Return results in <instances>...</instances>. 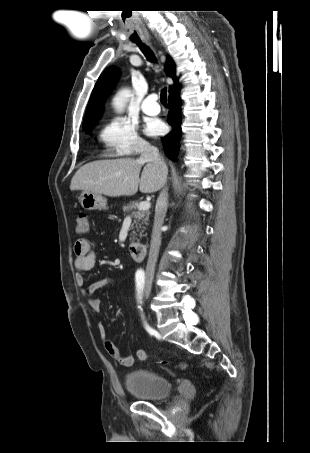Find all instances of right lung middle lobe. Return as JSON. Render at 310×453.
<instances>
[{"instance_id": "dd1d6c3e", "label": "right lung middle lobe", "mask_w": 310, "mask_h": 453, "mask_svg": "<svg viewBox=\"0 0 310 453\" xmlns=\"http://www.w3.org/2000/svg\"><path fill=\"white\" fill-rule=\"evenodd\" d=\"M94 125H91V126H83V130H86L88 131L89 129H91Z\"/></svg>"}]
</instances>
